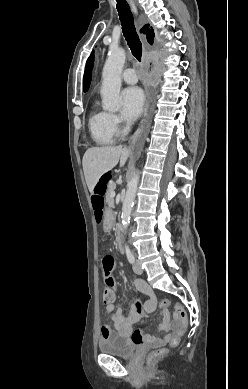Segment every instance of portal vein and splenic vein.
I'll list each match as a JSON object with an SVG mask.
<instances>
[{"label":"portal vein and splenic vein","mask_w":248,"mask_h":389,"mask_svg":"<svg viewBox=\"0 0 248 389\" xmlns=\"http://www.w3.org/2000/svg\"><path fill=\"white\" fill-rule=\"evenodd\" d=\"M111 196H112V198H114V197H115V192H113V193L111 194Z\"/></svg>","instance_id":"portal-vein-and-splenic-vein-1"}]
</instances>
